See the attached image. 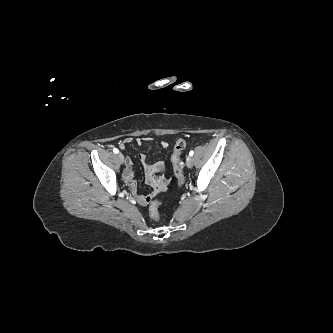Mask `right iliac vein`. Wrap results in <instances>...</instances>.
Listing matches in <instances>:
<instances>
[{
    "label": "right iliac vein",
    "mask_w": 333,
    "mask_h": 333,
    "mask_svg": "<svg viewBox=\"0 0 333 333\" xmlns=\"http://www.w3.org/2000/svg\"><path fill=\"white\" fill-rule=\"evenodd\" d=\"M117 157L119 158L121 163H124V155L122 153H118Z\"/></svg>",
    "instance_id": "63e3f726"
}]
</instances>
